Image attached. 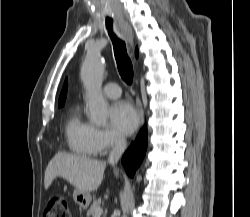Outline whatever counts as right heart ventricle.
Listing matches in <instances>:
<instances>
[{
    "mask_svg": "<svg viewBox=\"0 0 250 217\" xmlns=\"http://www.w3.org/2000/svg\"><path fill=\"white\" fill-rule=\"evenodd\" d=\"M94 130L95 127L82 118L79 107H72L64 124V135L69 150L80 156L95 155Z\"/></svg>",
    "mask_w": 250,
    "mask_h": 217,
    "instance_id": "right-heart-ventricle-1",
    "label": "right heart ventricle"
}]
</instances>
